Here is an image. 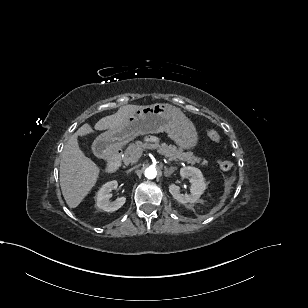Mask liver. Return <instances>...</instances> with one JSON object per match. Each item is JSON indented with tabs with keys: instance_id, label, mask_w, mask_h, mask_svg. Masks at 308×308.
Segmentation results:
<instances>
[{
	"instance_id": "obj_1",
	"label": "liver",
	"mask_w": 308,
	"mask_h": 308,
	"mask_svg": "<svg viewBox=\"0 0 308 308\" xmlns=\"http://www.w3.org/2000/svg\"><path fill=\"white\" fill-rule=\"evenodd\" d=\"M144 106L125 105L110 116L103 117L95 124L96 130H106L122 125L135 110ZM86 123L81 126L64 146L60 162V186L70 208L77 207L96 184L100 169L79 147L78 136L93 133Z\"/></svg>"
}]
</instances>
